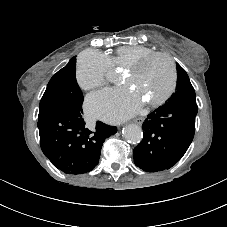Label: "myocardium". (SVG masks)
Returning a JSON list of instances; mask_svg holds the SVG:
<instances>
[{
    "instance_id": "obj_1",
    "label": "myocardium",
    "mask_w": 227,
    "mask_h": 227,
    "mask_svg": "<svg viewBox=\"0 0 227 227\" xmlns=\"http://www.w3.org/2000/svg\"><path fill=\"white\" fill-rule=\"evenodd\" d=\"M157 57H163L169 62L170 66H171V70H172V81H171L169 88L167 89V91L164 94H162L159 98H157L155 100L147 102V104L151 107L161 105L166 100H168L171 97V95L174 93V91L177 87L178 71H177V67H176V63H175L174 59L168 53L154 52V53H151L149 55L142 57L141 59H139L137 62H135L134 64H132L131 66H129L126 69L127 73H138L150 61H152L153 59H155Z\"/></svg>"
}]
</instances>
